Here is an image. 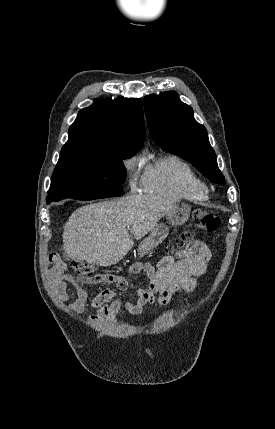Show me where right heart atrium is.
Listing matches in <instances>:
<instances>
[{"label": "right heart atrium", "instance_id": "d8ad5b80", "mask_svg": "<svg viewBox=\"0 0 275 429\" xmlns=\"http://www.w3.org/2000/svg\"><path fill=\"white\" fill-rule=\"evenodd\" d=\"M123 168L129 186L132 189H135L142 180L140 156L138 154H134L124 159Z\"/></svg>", "mask_w": 275, "mask_h": 429}]
</instances>
